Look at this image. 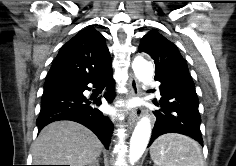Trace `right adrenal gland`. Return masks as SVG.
Returning <instances> with one entry per match:
<instances>
[{"instance_id": "obj_1", "label": "right adrenal gland", "mask_w": 236, "mask_h": 166, "mask_svg": "<svg viewBox=\"0 0 236 166\" xmlns=\"http://www.w3.org/2000/svg\"><path fill=\"white\" fill-rule=\"evenodd\" d=\"M91 166H100V165H99V160L97 159V160L94 162V164H92Z\"/></svg>"}]
</instances>
